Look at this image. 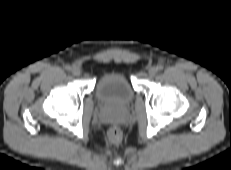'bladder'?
<instances>
[{
  "mask_svg": "<svg viewBox=\"0 0 231 170\" xmlns=\"http://www.w3.org/2000/svg\"><path fill=\"white\" fill-rule=\"evenodd\" d=\"M97 102L108 110H124L134 99V91L123 73L102 75L95 87Z\"/></svg>",
  "mask_w": 231,
  "mask_h": 170,
  "instance_id": "obj_1",
  "label": "bladder"
}]
</instances>
